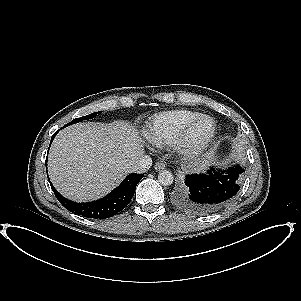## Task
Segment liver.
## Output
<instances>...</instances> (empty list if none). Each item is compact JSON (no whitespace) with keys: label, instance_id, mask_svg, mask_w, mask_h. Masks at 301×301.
Listing matches in <instances>:
<instances>
[{"label":"liver","instance_id":"6515ba94","mask_svg":"<svg viewBox=\"0 0 301 301\" xmlns=\"http://www.w3.org/2000/svg\"><path fill=\"white\" fill-rule=\"evenodd\" d=\"M137 130L127 123H78L55 137L48 156L54 187L76 202L96 200L129 174L144 152Z\"/></svg>","mask_w":301,"mask_h":301}]
</instances>
